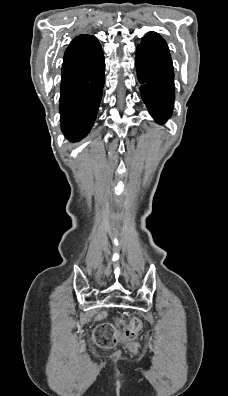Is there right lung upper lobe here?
<instances>
[{
  "instance_id": "cb5924a9",
  "label": "right lung upper lobe",
  "mask_w": 228,
  "mask_h": 396,
  "mask_svg": "<svg viewBox=\"0 0 228 396\" xmlns=\"http://www.w3.org/2000/svg\"><path fill=\"white\" fill-rule=\"evenodd\" d=\"M75 40L81 44V47L85 48H91L97 42V39L92 35H80Z\"/></svg>"
}]
</instances>
